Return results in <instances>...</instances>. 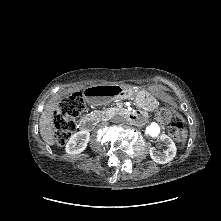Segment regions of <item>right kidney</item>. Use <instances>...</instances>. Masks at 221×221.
Returning a JSON list of instances; mask_svg holds the SVG:
<instances>
[{
    "mask_svg": "<svg viewBox=\"0 0 221 221\" xmlns=\"http://www.w3.org/2000/svg\"><path fill=\"white\" fill-rule=\"evenodd\" d=\"M90 139V133L88 131H79L71 136L66 144V153L79 154L83 152Z\"/></svg>",
    "mask_w": 221,
    "mask_h": 221,
    "instance_id": "right-kidney-1",
    "label": "right kidney"
}]
</instances>
